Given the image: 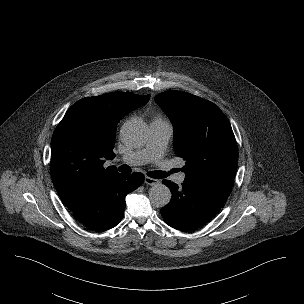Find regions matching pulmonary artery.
Here are the masks:
<instances>
[{
  "instance_id": "obj_1",
  "label": "pulmonary artery",
  "mask_w": 304,
  "mask_h": 304,
  "mask_svg": "<svg viewBox=\"0 0 304 304\" xmlns=\"http://www.w3.org/2000/svg\"><path fill=\"white\" fill-rule=\"evenodd\" d=\"M172 133V127L168 122L162 120L152 121L146 144L140 149L123 155L120 160L132 166L158 161L162 157ZM185 178L186 174L183 172L174 176V180L178 184H182Z\"/></svg>"
}]
</instances>
